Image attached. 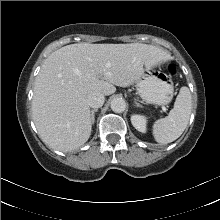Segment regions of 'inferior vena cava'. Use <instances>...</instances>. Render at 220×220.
Returning a JSON list of instances; mask_svg holds the SVG:
<instances>
[{
  "label": "inferior vena cava",
  "mask_w": 220,
  "mask_h": 220,
  "mask_svg": "<svg viewBox=\"0 0 220 220\" xmlns=\"http://www.w3.org/2000/svg\"><path fill=\"white\" fill-rule=\"evenodd\" d=\"M105 102V97L100 92H91L87 96V104L92 108H100Z\"/></svg>",
  "instance_id": "inferior-vena-cava-1"
}]
</instances>
